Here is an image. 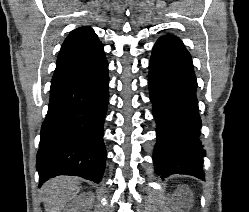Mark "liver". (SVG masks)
I'll return each instance as SVG.
<instances>
[{"instance_id":"obj_1","label":"liver","mask_w":249,"mask_h":212,"mask_svg":"<svg viewBox=\"0 0 249 212\" xmlns=\"http://www.w3.org/2000/svg\"><path fill=\"white\" fill-rule=\"evenodd\" d=\"M80 188L82 186L79 178H70V176H57L46 182L42 188L45 212H62L66 204L79 194Z\"/></svg>"}]
</instances>
